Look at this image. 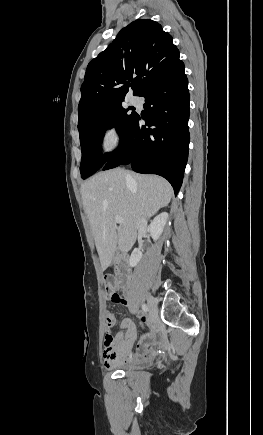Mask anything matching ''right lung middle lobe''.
Wrapping results in <instances>:
<instances>
[{"label":"right lung middle lobe","instance_id":"1","mask_svg":"<svg viewBox=\"0 0 263 435\" xmlns=\"http://www.w3.org/2000/svg\"><path fill=\"white\" fill-rule=\"evenodd\" d=\"M128 111L120 102L106 109L92 122L78 128L82 150L80 172L83 179L99 170L113 154L102 156L101 141L105 131L115 127L121 141L128 133L137 116L136 112L130 114Z\"/></svg>","mask_w":263,"mask_h":435}]
</instances>
